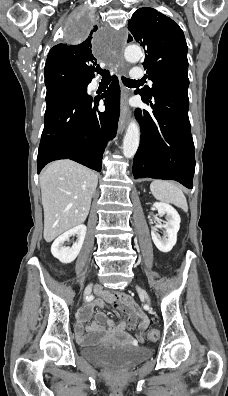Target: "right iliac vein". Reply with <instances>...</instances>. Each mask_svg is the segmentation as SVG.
<instances>
[{
    "instance_id": "right-iliac-vein-1",
    "label": "right iliac vein",
    "mask_w": 228,
    "mask_h": 396,
    "mask_svg": "<svg viewBox=\"0 0 228 396\" xmlns=\"http://www.w3.org/2000/svg\"><path fill=\"white\" fill-rule=\"evenodd\" d=\"M91 290H92V283H90L86 288H85V290H84V298L86 297V296H88L90 293H91Z\"/></svg>"
}]
</instances>
